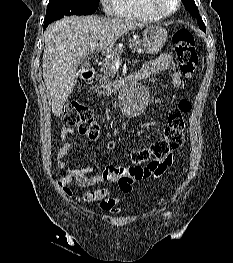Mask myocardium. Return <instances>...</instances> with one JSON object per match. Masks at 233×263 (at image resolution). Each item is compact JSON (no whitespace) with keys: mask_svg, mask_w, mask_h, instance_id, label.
Segmentation results:
<instances>
[{"mask_svg":"<svg viewBox=\"0 0 233 263\" xmlns=\"http://www.w3.org/2000/svg\"><path fill=\"white\" fill-rule=\"evenodd\" d=\"M150 7L152 8V10L157 13L159 16L161 17H170L172 15H174L179 7H180V3L181 0H175V7L174 9H172L171 11H165L163 10L158 3V0H148Z\"/></svg>","mask_w":233,"mask_h":263,"instance_id":"myocardium-1","label":"myocardium"}]
</instances>
